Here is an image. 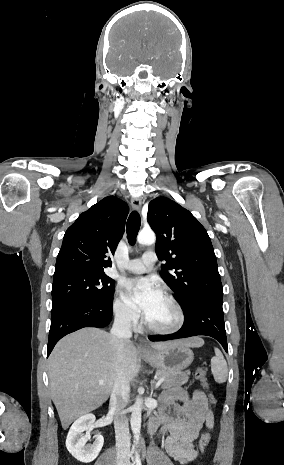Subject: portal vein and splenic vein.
Instances as JSON below:
<instances>
[{"label":"portal vein and splenic vein","mask_w":284,"mask_h":465,"mask_svg":"<svg viewBox=\"0 0 284 465\" xmlns=\"http://www.w3.org/2000/svg\"><path fill=\"white\" fill-rule=\"evenodd\" d=\"M163 381H164V377H163V379H159L156 387H160V385H161V383H163ZM99 383H104V381H102V379H101V381H99Z\"/></svg>","instance_id":"18ae733b"}]
</instances>
